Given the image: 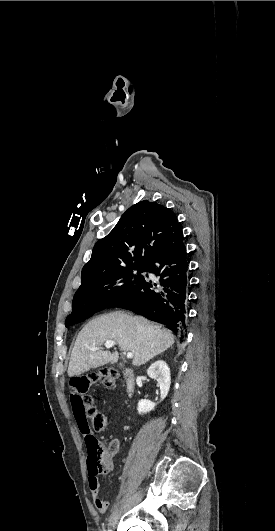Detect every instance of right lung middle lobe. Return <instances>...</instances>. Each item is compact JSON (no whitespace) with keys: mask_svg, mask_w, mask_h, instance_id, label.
Wrapping results in <instances>:
<instances>
[{"mask_svg":"<svg viewBox=\"0 0 275 531\" xmlns=\"http://www.w3.org/2000/svg\"><path fill=\"white\" fill-rule=\"evenodd\" d=\"M142 272H146V266L125 267L80 286L74 295L72 313L66 318L65 326L82 322L96 312L125 302L144 279Z\"/></svg>","mask_w":275,"mask_h":531,"instance_id":"1","label":"right lung middle lobe"}]
</instances>
